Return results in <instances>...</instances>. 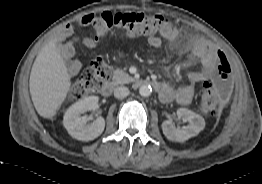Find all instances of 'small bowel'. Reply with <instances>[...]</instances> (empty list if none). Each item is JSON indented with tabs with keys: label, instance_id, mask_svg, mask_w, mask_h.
Returning <instances> with one entry per match:
<instances>
[{
	"label": "small bowel",
	"instance_id": "c3829d8e",
	"mask_svg": "<svg viewBox=\"0 0 262 184\" xmlns=\"http://www.w3.org/2000/svg\"><path fill=\"white\" fill-rule=\"evenodd\" d=\"M72 32V26L65 27L62 37L67 38ZM162 37L169 42H174L178 38V31L175 28L170 27L169 30L162 33ZM147 43L150 47L158 49L162 46V39L159 36L148 37ZM82 44L89 49L96 46V41L92 38H84ZM187 48L194 58H197L201 62V70L194 72L189 77V83L179 88H173L167 83H159L157 88L159 98L161 101L168 103L176 101L180 105H188L191 103L195 87L197 84L208 81L211 79L212 72L218 66L215 52L217 49L209 42L187 38ZM63 52L66 56H72L74 53V44L72 41L65 42L63 46ZM81 64L78 61H74L70 65V72L75 75L79 72Z\"/></svg>",
	"mask_w": 262,
	"mask_h": 184
}]
</instances>
